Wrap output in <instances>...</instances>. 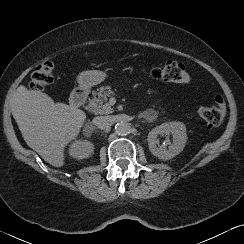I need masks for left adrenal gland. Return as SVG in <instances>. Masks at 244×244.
Masks as SVG:
<instances>
[{
    "label": "left adrenal gland",
    "mask_w": 244,
    "mask_h": 244,
    "mask_svg": "<svg viewBox=\"0 0 244 244\" xmlns=\"http://www.w3.org/2000/svg\"><path fill=\"white\" fill-rule=\"evenodd\" d=\"M144 117L143 114L138 115V119H142Z\"/></svg>",
    "instance_id": "left-adrenal-gland-1"
}]
</instances>
